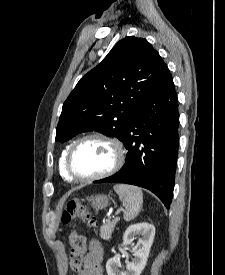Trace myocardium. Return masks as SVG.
Instances as JSON below:
<instances>
[{"mask_svg":"<svg viewBox=\"0 0 225 275\" xmlns=\"http://www.w3.org/2000/svg\"><path fill=\"white\" fill-rule=\"evenodd\" d=\"M92 139H98V140H102L106 143H108L113 151H114V162L113 165L106 171L99 173V174H95V175H89V176H82L77 174L73 168H72V157L74 154L75 149L84 141L87 140H92ZM125 160V151H124V147L122 145V143L111 136H108L106 134H102V133H91V134H87L84 135L80 138H78L77 140H75L69 147L67 154H66V158H65V168L67 173L76 180H80V181H96V180H100V179H104L107 178L113 174H115L123 165Z\"/></svg>","mask_w":225,"mask_h":275,"instance_id":"obj_1","label":"myocardium"}]
</instances>
